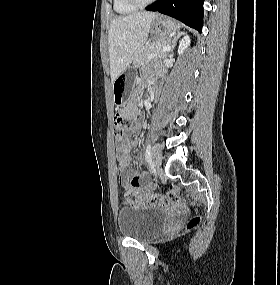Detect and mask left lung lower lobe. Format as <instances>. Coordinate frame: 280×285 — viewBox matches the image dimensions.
Listing matches in <instances>:
<instances>
[{"instance_id": "0a47b994", "label": "left lung lower lobe", "mask_w": 280, "mask_h": 285, "mask_svg": "<svg viewBox=\"0 0 280 285\" xmlns=\"http://www.w3.org/2000/svg\"><path fill=\"white\" fill-rule=\"evenodd\" d=\"M204 0H158L146 8L174 17L202 32Z\"/></svg>"}]
</instances>
